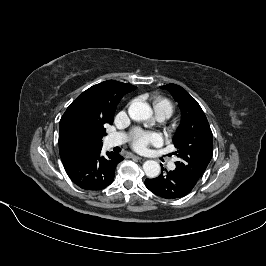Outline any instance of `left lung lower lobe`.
I'll use <instances>...</instances> for the list:
<instances>
[{
	"label": "left lung lower lobe",
	"mask_w": 266,
	"mask_h": 266,
	"mask_svg": "<svg viewBox=\"0 0 266 266\" xmlns=\"http://www.w3.org/2000/svg\"><path fill=\"white\" fill-rule=\"evenodd\" d=\"M165 171L166 173H161L157 178L145 180V186L154 194L165 199H176L186 196L194 188L195 185L179 171Z\"/></svg>",
	"instance_id": "0a47b994"
}]
</instances>
